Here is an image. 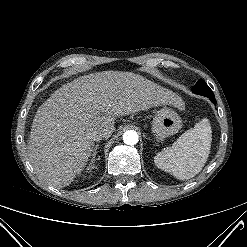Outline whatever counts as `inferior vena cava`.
<instances>
[{
  "label": "inferior vena cava",
  "instance_id": "inferior-vena-cava-1",
  "mask_svg": "<svg viewBox=\"0 0 247 247\" xmlns=\"http://www.w3.org/2000/svg\"><path fill=\"white\" fill-rule=\"evenodd\" d=\"M106 138V133L103 130H95L89 134V139L92 141H100Z\"/></svg>",
  "mask_w": 247,
  "mask_h": 247
}]
</instances>
